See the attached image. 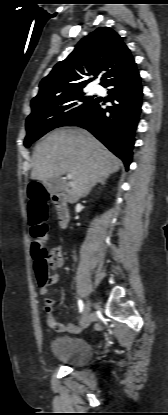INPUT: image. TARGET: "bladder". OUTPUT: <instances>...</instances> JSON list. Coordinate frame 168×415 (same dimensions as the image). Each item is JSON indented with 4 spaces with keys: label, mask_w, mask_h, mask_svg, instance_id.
<instances>
[{
    "label": "bladder",
    "mask_w": 168,
    "mask_h": 415,
    "mask_svg": "<svg viewBox=\"0 0 168 415\" xmlns=\"http://www.w3.org/2000/svg\"><path fill=\"white\" fill-rule=\"evenodd\" d=\"M51 348L56 361L71 367L83 366L92 358L91 346L79 338L56 337Z\"/></svg>",
    "instance_id": "31cf9c89"
}]
</instances>
